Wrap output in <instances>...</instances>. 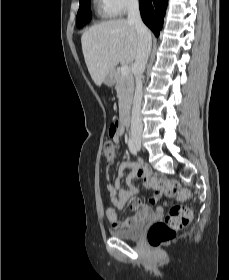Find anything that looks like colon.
Returning a JSON list of instances; mask_svg holds the SVG:
<instances>
[{
  "label": "colon",
  "mask_w": 229,
  "mask_h": 280,
  "mask_svg": "<svg viewBox=\"0 0 229 280\" xmlns=\"http://www.w3.org/2000/svg\"><path fill=\"white\" fill-rule=\"evenodd\" d=\"M118 122L113 121L109 128V133L113 135L118 130ZM116 146L108 141L104 145L103 155L107 163H112L116 156ZM149 184L153 188L164 189L167 193L176 196L180 200L188 197V192L179 187L176 180H166L162 175L157 174L153 176ZM191 211L189 208L180 205L172 206L166 216L153 225L150 226L147 239L150 245L158 247L173 240L177 232L186 227L191 219Z\"/></svg>",
  "instance_id": "obj_1"
}]
</instances>
